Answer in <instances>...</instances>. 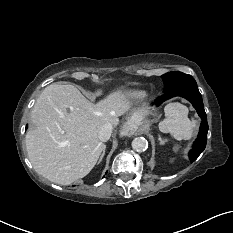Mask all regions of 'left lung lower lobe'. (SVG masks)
I'll use <instances>...</instances> for the list:
<instances>
[{"mask_svg": "<svg viewBox=\"0 0 233 233\" xmlns=\"http://www.w3.org/2000/svg\"><path fill=\"white\" fill-rule=\"evenodd\" d=\"M174 96H182L189 100L202 119L198 137L189 152V159L191 162H194L205 149L207 142L208 123L204 110L202 96L198 90L197 84L189 83L177 86L170 91L164 93L162 96L155 100L154 104L158 106L162 102Z\"/></svg>", "mask_w": 233, "mask_h": 233, "instance_id": "left-lung-lower-lobe-1", "label": "left lung lower lobe"}]
</instances>
